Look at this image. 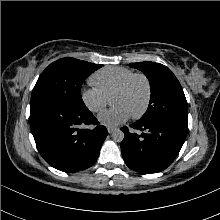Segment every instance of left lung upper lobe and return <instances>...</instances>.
I'll return each mask as SVG.
<instances>
[{
    "mask_svg": "<svg viewBox=\"0 0 220 220\" xmlns=\"http://www.w3.org/2000/svg\"><path fill=\"white\" fill-rule=\"evenodd\" d=\"M150 82L151 98L148 109L138 122L169 121L188 130V108L182 87L166 66L155 62L131 63Z\"/></svg>",
    "mask_w": 220,
    "mask_h": 220,
    "instance_id": "1",
    "label": "left lung upper lobe"
}]
</instances>
